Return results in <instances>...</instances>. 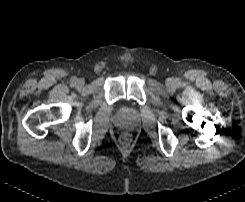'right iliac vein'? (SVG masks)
Wrapping results in <instances>:
<instances>
[{
    "instance_id": "63e3f726",
    "label": "right iliac vein",
    "mask_w": 245,
    "mask_h": 202,
    "mask_svg": "<svg viewBox=\"0 0 245 202\" xmlns=\"http://www.w3.org/2000/svg\"><path fill=\"white\" fill-rule=\"evenodd\" d=\"M83 84V81L81 79L76 80L75 85L81 86Z\"/></svg>"
}]
</instances>
